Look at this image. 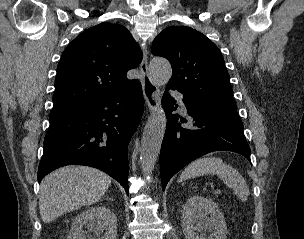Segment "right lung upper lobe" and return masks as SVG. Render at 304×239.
I'll return each mask as SVG.
<instances>
[{"label": "right lung upper lobe", "instance_id": "obj_1", "mask_svg": "<svg viewBox=\"0 0 304 239\" xmlns=\"http://www.w3.org/2000/svg\"><path fill=\"white\" fill-rule=\"evenodd\" d=\"M142 56L124 26L103 22L82 32L58 64L49 118L82 109L136 81L127 79L126 73L139 65Z\"/></svg>", "mask_w": 304, "mask_h": 239}]
</instances>
